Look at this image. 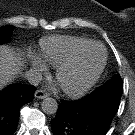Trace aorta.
<instances>
[{"label":"aorta","instance_id":"762f6f07","mask_svg":"<svg viewBox=\"0 0 135 135\" xmlns=\"http://www.w3.org/2000/svg\"><path fill=\"white\" fill-rule=\"evenodd\" d=\"M42 111L48 115L55 114L58 110V103L55 99L47 97L43 100Z\"/></svg>","mask_w":135,"mask_h":135}]
</instances>
